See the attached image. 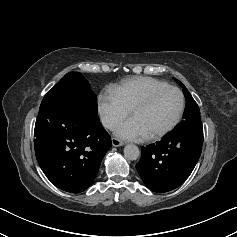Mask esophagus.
Here are the masks:
<instances>
[{
	"mask_svg": "<svg viewBox=\"0 0 237 237\" xmlns=\"http://www.w3.org/2000/svg\"><path fill=\"white\" fill-rule=\"evenodd\" d=\"M112 145L115 147L123 146L124 142L120 141L117 138H112Z\"/></svg>",
	"mask_w": 237,
	"mask_h": 237,
	"instance_id": "obj_1",
	"label": "esophagus"
}]
</instances>
